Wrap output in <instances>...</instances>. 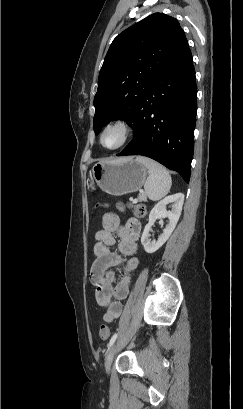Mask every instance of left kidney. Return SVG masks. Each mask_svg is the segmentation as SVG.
Returning <instances> with one entry per match:
<instances>
[{
    "label": "left kidney",
    "mask_w": 243,
    "mask_h": 409,
    "mask_svg": "<svg viewBox=\"0 0 243 409\" xmlns=\"http://www.w3.org/2000/svg\"><path fill=\"white\" fill-rule=\"evenodd\" d=\"M184 202V194L177 193L165 197L163 200L158 202L149 214V222L145 226L141 237V244L143 245L147 253L156 252L169 238L181 215L182 206ZM169 203H174L170 211L166 210V206ZM159 218H168L169 223L163 230V233L158 237L157 240H152L150 237L151 227L154 225L155 221Z\"/></svg>",
    "instance_id": "1"
}]
</instances>
